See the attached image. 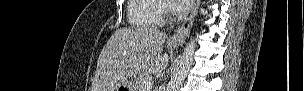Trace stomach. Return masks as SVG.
<instances>
[{"label":"stomach","mask_w":304,"mask_h":91,"mask_svg":"<svg viewBox=\"0 0 304 91\" xmlns=\"http://www.w3.org/2000/svg\"><path fill=\"white\" fill-rule=\"evenodd\" d=\"M117 91H134V88L128 83L121 85Z\"/></svg>","instance_id":"stomach-1"}]
</instances>
